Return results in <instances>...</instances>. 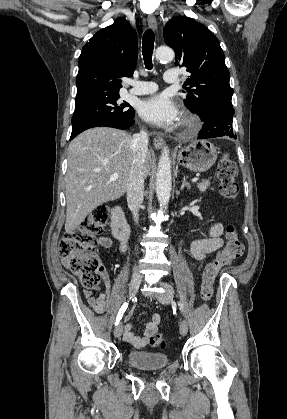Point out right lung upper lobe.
<instances>
[{
    "mask_svg": "<svg viewBox=\"0 0 287 419\" xmlns=\"http://www.w3.org/2000/svg\"><path fill=\"white\" fill-rule=\"evenodd\" d=\"M136 61L137 35L128 21L118 18L98 31L78 60L75 107L119 96L120 78L133 75Z\"/></svg>",
    "mask_w": 287,
    "mask_h": 419,
    "instance_id": "obj_1",
    "label": "right lung upper lobe"
}]
</instances>
